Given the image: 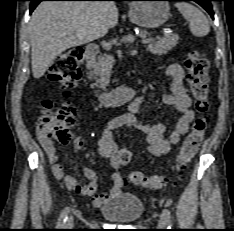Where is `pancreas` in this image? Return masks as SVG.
Returning <instances> with one entry per match:
<instances>
[{"mask_svg": "<svg viewBox=\"0 0 234 231\" xmlns=\"http://www.w3.org/2000/svg\"><path fill=\"white\" fill-rule=\"evenodd\" d=\"M179 36L177 34H165L158 41H152L147 49L156 55L166 54L169 50L175 47L178 43ZM113 59L108 55L99 56L94 62L92 75H95L100 88H104L109 83Z\"/></svg>", "mask_w": 234, "mask_h": 231, "instance_id": "cf45deb5", "label": "pancreas"}]
</instances>
